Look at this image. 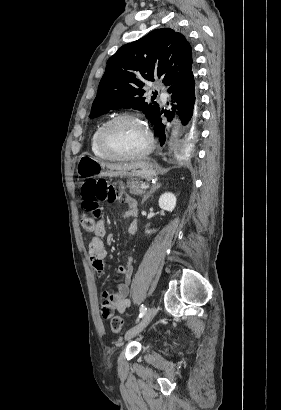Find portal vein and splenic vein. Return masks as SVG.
Returning a JSON list of instances; mask_svg holds the SVG:
<instances>
[{
	"instance_id": "portal-vein-and-splenic-vein-1",
	"label": "portal vein and splenic vein",
	"mask_w": 281,
	"mask_h": 410,
	"mask_svg": "<svg viewBox=\"0 0 281 410\" xmlns=\"http://www.w3.org/2000/svg\"><path fill=\"white\" fill-rule=\"evenodd\" d=\"M141 189H146V188H148V185L147 184H145V183H143V184H141Z\"/></svg>"
}]
</instances>
